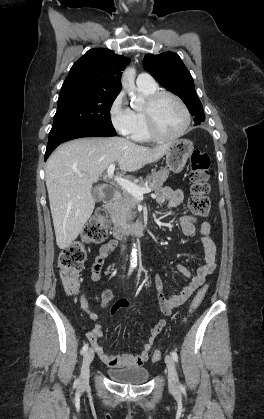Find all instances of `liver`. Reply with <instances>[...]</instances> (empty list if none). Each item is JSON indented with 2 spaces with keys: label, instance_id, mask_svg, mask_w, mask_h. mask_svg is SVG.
Returning a JSON list of instances; mask_svg holds the SVG:
<instances>
[{
  "label": "liver",
  "instance_id": "6515ba94",
  "mask_svg": "<svg viewBox=\"0 0 264 419\" xmlns=\"http://www.w3.org/2000/svg\"><path fill=\"white\" fill-rule=\"evenodd\" d=\"M168 148H149L121 137L80 138L60 145L47 161L45 177L58 247L67 248L82 231L95 207L92 184L110 164L137 171L158 161Z\"/></svg>",
  "mask_w": 264,
  "mask_h": 419
}]
</instances>
